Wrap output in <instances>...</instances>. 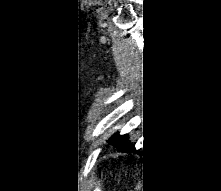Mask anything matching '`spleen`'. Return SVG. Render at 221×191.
Here are the masks:
<instances>
[{
	"instance_id": "3e777b00",
	"label": "spleen",
	"mask_w": 221,
	"mask_h": 191,
	"mask_svg": "<svg viewBox=\"0 0 221 191\" xmlns=\"http://www.w3.org/2000/svg\"><path fill=\"white\" fill-rule=\"evenodd\" d=\"M136 190H141V184H138V185L136 186Z\"/></svg>"
}]
</instances>
